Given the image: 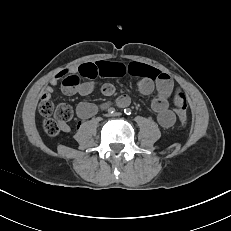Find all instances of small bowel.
I'll use <instances>...</instances> for the list:
<instances>
[{
  "label": "small bowel",
  "instance_id": "obj_1",
  "mask_svg": "<svg viewBox=\"0 0 231 231\" xmlns=\"http://www.w3.org/2000/svg\"><path fill=\"white\" fill-rule=\"evenodd\" d=\"M75 72L88 79L77 89V92L82 96H88L94 91L95 86L92 80L97 77H120L125 74L138 77L137 88L142 94L149 95L155 91L151 107L157 114V121L160 126L170 128L174 125L176 116L169 108V101L171 98H175L180 91L175 87L173 80L168 74L139 62L124 64L107 61L81 64L75 69ZM68 74H70L69 70H63L52 77L41 93V99H50L55 86ZM102 93L110 96L114 93V87L106 83L102 86ZM116 102L122 107L129 104L130 99L126 95H121ZM97 111L98 106L89 102H81L76 108V114L82 120L91 118ZM60 128L65 132L70 130V127L65 123H62Z\"/></svg>",
  "mask_w": 231,
  "mask_h": 231
}]
</instances>
